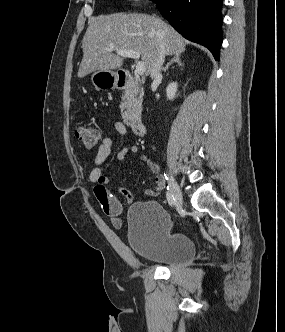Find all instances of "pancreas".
Here are the masks:
<instances>
[{"label": "pancreas", "instance_id": "pancreas-1", "mask_svg": "<svg viewBox=\"0 0 285 332\" xmlns=\"http://www.w3.org/2000/svg\"><path fill=\"white\" fill-rule=\"evenodd\" d=\"M143 88L139 87V83L135 81L133 92H125L122 96L120 110L124 119H129L135 114H139L142 108Z\"/></svg>", "mask_w": 285, "mask_h": 332}]
</instances>
